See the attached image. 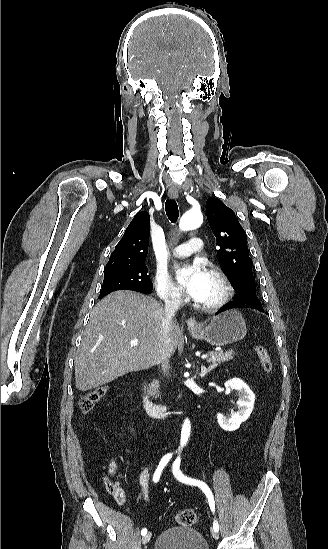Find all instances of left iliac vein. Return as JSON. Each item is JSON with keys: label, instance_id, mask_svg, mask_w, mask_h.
<instances>
[{"label": "left iliac vein", "instance_id": "1", "mask_svg": "<svg viewBox=\"0 0 328 549\" xmlns=\"http://www.w3.org/2000/svg\"><path fill=\"white\" fill-rule=\"evenodd\" d=\"M211 534H212V536H213L215 539H218V533H217V531L212 530V531H211Z\"/></svg>", "mask_w": 328, "mask_h": 549}]
</instances>
